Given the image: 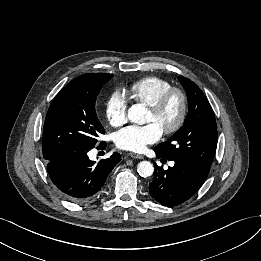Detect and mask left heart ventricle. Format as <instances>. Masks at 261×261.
Segmentation results:
<instances>
[{
    "label": "left heart ventricle",
    "instance_id": "left-heart-ventricle-1",
    "mask_svg": "<svg viewBox=\"0 0 261 261\" xmlns=\"http://www.w3.org/2000/svg\"><path fill=\"white\" fill-rule=\"evenodd\" d=\"M180 103L178 98H173L165 111L158 117L154 116L149 110L145 117V123H154L161 130L171 126L178 117Z\"/></svg>",
    "mask_w": 261,
    "mask_h": 261
}]
</instances>
